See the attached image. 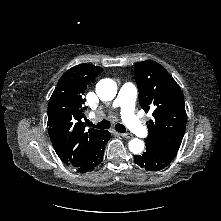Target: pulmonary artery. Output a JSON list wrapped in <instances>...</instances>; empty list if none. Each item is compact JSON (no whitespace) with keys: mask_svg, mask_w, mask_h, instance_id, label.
<instances>
[{"mask_svg":"<svg viewBox=\"0 0 221 221\" xmlns=\"http://www.w3.org/2000/svg\"><path fill=\"white\" fill-rule=\"evenodd\" d=\"M135 100V86L131 83H126L119 90L113 106L120 108L122 119L127 127L136 135L144 137L147 134V130L134 113Z\"/></svg>","mask_w":221,"mask_h":221,"instance_id":"pulmonary-artery-1","label":"pulmonary artery"}]
</instances>
